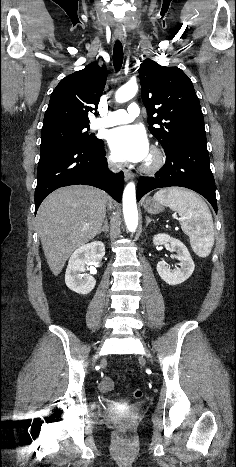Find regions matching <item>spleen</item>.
I'll list each match as a JSON object with an SVG mask.
<instances>
[{
	"instance_id": "3e777b00",
	"label": "spleen",
	"mask_w": 236,
	"mask_h": 467,
	"mask_svg": "<svg viewBox=\"0 0 236 467\" xmlns=\"http://www.w3.org/2000/svg\"><path fill=\"white\" fill-rule=\"evenodd\" d=\"M154 199L180 214L182 231L189 236L193 251L199 257H207L214 244V224L204 200L194 192L178 187L161 189Z\"/></svg>"
}]
</instances>
